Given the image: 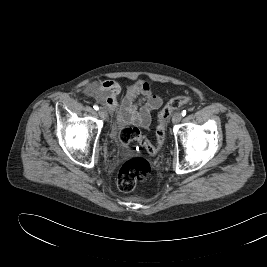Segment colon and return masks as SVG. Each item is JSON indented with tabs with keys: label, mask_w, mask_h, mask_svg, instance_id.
<instances>
[{
	"label": "colon",
	"mask_w": 267,
	"mask_h": 267,
	"mask_svg": "<svg viewBox=\"0 0 267 267\" xmlns=\"http://www.w3.org/2000/svg\"><path fill=\"white\" fill-rule=\"evenodd\" d=\"M190 102L188 96H177L171 99L167 105L158 113L156 128V143H151L137 127H124L120 134L119 140L122 146L127 149L130 157L121 166L117 176V186L122 192L133 191L139 183L146 182L151 177L150 163L140 156L135 155L130 150L132 142H138L143 146L150 155H156L165 140V124L172 113Z\"/></svg>",
	"instance_id": "1"
}]
</instances>
